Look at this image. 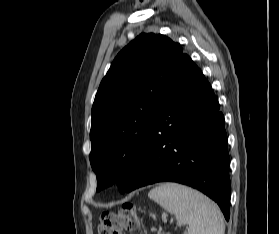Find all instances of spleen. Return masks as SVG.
<instances>
[{
	"mask_svg": "<svg viewBox=\"0 0 279 234\" xmlns=\"http://www.w3.org/2000/svg\"><path fill=\"white\" fill-rule=\"evenodd\" d=\"M148 196L174 214L179 226L187 224V234H224L219 207L199 191L177 183H164L152 189Z\"/></svg>",
	"mask_w": 279,
	"mask_h": 234,
	"instance_id": "1",
	"label": "spleen"
}]
</instances>
